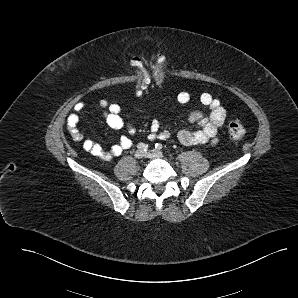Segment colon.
Returning a JSON list of instances; mask_svg holds the SVG:
<instances>
[{
	"label": "colon",
	"instance_id": "obj_1",
	"mask_svg": "<svg viewBox=\"0 0 298 298\" xmlns=\"http://www.w3.org/2000/svg\"><path fill=\"white\" fill-rule=\"evenodd\" d=\"M133 65L138 71L135 86L136 93L138 95L143 94L147 90L152 79L158 85H162L164 83L165 73L163 70V60L161 59V56L157 58L151 69L148 68L147 64L140 57L133 59ZM228 134L231 141L239 142L244 138L246 129L240 120L234 119L230 121L228 125Z\"/></svg>",
	"mask_w": 298,
	"mask_h": 298
}]
</instances>
